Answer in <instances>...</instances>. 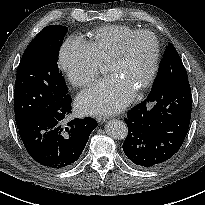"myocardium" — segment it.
<instances>
[{
  "instance_id": "obj_1",
  "label": "myocardium",
  "mask_w": 205,
  "mask_h": 205,
  "mask_svg": "<svg viewBox=\"0 0 205 205\" xmlns=\"http://www.w3.org/2000/svg\"><path fill=\"white\" fill-rule=\"evenodd\" d=\"M142 35L149 36L152 39L154 43V55H153V60H152L149 74L146 80L144 81V83L135 91L136 94H139L144 90H146L148 87H150L156 77L158 67H159V62H160V54H161V47H160V42L158 37L153 32L146 29L136 30L124 38L119 49L113 54V56L107 62V65H111L124 59L127 54V50L130 43L135 38Z\"/></svg>"
}]
</instances>
